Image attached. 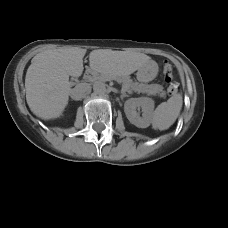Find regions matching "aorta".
Listing matches in <instances>:
<instances>
[{"instance_id": "762f6f07", "label": "aorta", "mask_w": 228, "mask_h": 228, "mask_svg": "<svg viewBox=\"0 0 228 228\" xmlns=\"http://www.w3.org/2000/svg\"><path fill=\"white\" fill-rule=\"evenodd\" d=\"M94 92L99 96H104L107 92L106 86L102 82H96L93 84Z\"/></svg>"}]
</instances>
